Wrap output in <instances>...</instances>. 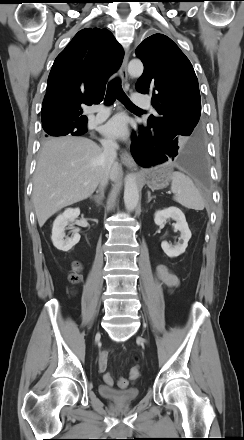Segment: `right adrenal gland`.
<instances>
[{"mask_svg":"<svg viewBox=\"0 0 244 440\" xmlns=\"http://www.w3.org/2000/svg\"><path fill=\"white\" fill-rule=\"evenodd\" d=\"M97 193H98V192H97ZM91 199H93V200L96 202V204H97L98 206L101 205V204H102V201H103V199H104V192H103V191H100L99 194H97V195L91 197Z\"/></svg>","mask_w":244,"mask_h":440,"instance_id":"right-adrenal-gland-1","label":"right adrenal gland"}]
</instances>
